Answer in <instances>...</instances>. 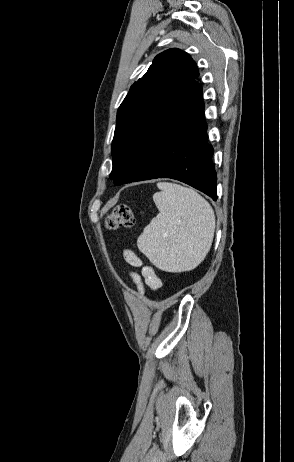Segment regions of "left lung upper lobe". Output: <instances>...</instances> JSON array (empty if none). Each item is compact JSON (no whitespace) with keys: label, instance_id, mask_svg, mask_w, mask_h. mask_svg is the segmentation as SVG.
I'll return each instance as SVG.
<instances>
[{"label":"left lung upper lobe","instance_id":"obj_1","mask_svg":"<svg viewBox=\"0 0 294 462\" xmlns=\"http://www.w3.org/2000/svg\"><path fill=\"white\" fill-rule=\"evenodd\" d=\"M199 72L189 54L177 48L157 55L142 78L135 82L117 112L112 142L114 178L155 108L178 98L186 85L195 82Z\"/></svg>","mask_w":294,"mask_h":462}]
</instances>
